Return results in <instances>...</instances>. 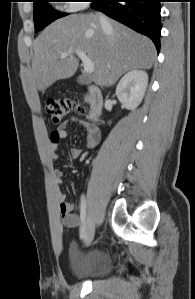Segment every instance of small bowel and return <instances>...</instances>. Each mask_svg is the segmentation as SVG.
<instances>
[{"label":"small bowel","instance_id":"c3829d8e","mask_svg":"<svg viewBox=\"0 0 195 299\" xmlns=\"http://www.w3.org/2000/svg\"><path fill=\"white\" fill-rule=\"evenodd\" d=\"M72 122L77 123L79 126H81L83 129H85L87 133L86 138V149H93L98 145L101 139L100 130L98 127L86 120L78 119V118H72ZM67 125L68 122L62 124L60 127H58L50 136L49 139V148L52 155V158L54 160H57V149L59 146V143L67 139L69 136V133L67 131ZM85 150L79 149V148H73L71 149V156L73 158H80ZM54 181H55V194L58 199L59 203V212L61 217L62 224L67 228H78L80 227L82 221L81 218L73 212L74 210V203L71 201H68L66 199V195L61 189V182L63 179V172L60 169H54L52 172Z\"/></svg>","mask_w":195,"mask_h":299}]
</instances>
